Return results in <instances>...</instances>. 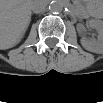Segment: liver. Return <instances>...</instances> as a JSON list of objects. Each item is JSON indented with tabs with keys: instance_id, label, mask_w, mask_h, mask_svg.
Masks as SVG:
<instances>
[{
	"instance_id": "1",
	"label": "liver",
	"mask_w": 103,
	"mask_h": 103,
	"mask_svg": "<svg viewBox=\"0 0 103 103\" xmlns=\"http://www.w3.org/2000/svg\"><path fill=\"white\" fill-rule=\"evenodd\" d=\"M31 2L5 0L1 2L0 47L9 49L23 38L31 20Z\"/></svg>"
}]
</instances>
